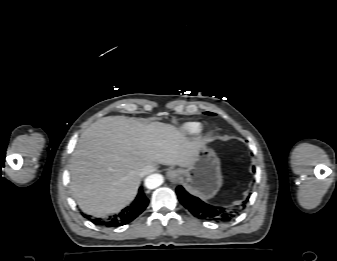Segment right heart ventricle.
I'll return each instance as SVG.
<instances>
[{
	"mask_svg": "<svg viewBox=\"0 0 337 261\" xmlns=\"http://www.w3.org/2000/svg\"><path fill=\"white\" fill-rule=\"evenodd\" d=\"M181 129L186 135L194 136L202 131L203 125L200 122H187L183 124Z\"/></svg>",
	"mask_w": 337,
	"mask_h": 261,
	"instance_id": "e07e8e85",
	"label": "right heart ventricle"
}]
</instances>
